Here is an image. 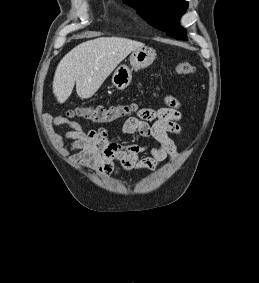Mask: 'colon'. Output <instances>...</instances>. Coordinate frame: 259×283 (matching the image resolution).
<instances>
[{"mask_svg":"<svg viewBox=\"0 0 259 283\" xmlns=\"http://www.w3.org/2000/svg\"><path fill=\"white\" fill-rule=\"evenodd\" d=\"M195 72V66L187 61L178 62L175 65V73L179 75H191ZM136 110V105L118 103L110 106H76L66 112L68 117H79L93 123H111L120 120Z\"/></svg>","mask_w":259,"mask_h":283,"instance_id":"5ec220e1","label":"colon"}]
</instances>
